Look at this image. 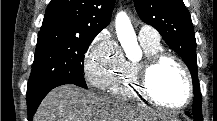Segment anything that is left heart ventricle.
Listing matches in <instances>:
<instances>
[{
  "instance_id": "left-heart-ventricle-1",
  "label": "left heart ventricle",
  "mask_w": 217,
  "mask_h": 121,
  "mask_svg": "<svg viewBox=\"0 0 217 121\" xmlns=\"http://www.w3.org/2000/svg\"><path fill=\"white\" fill-rule=\"evenodd\" d=\"M150 85L153 94L168 105L181 104L187 95L185 76L171 61H165L152 71Z\"/></svg>"
}]
</instances>
